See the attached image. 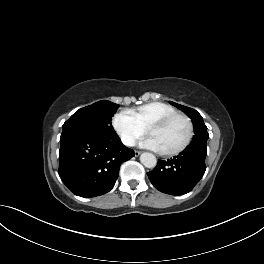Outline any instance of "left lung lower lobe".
Segmentation results:
<instances>
[{
	"mask_svg": "<svg viewBox=\"0 0 264 264\" xmlns=\"http://www.w3.org/2000/svg\"><path fill=\"white\" fill-rule=\"evenodd\" d=\"M206 155L207 146L189 145L178 156L159 160L156 168L147 175L160 192L183 195L203 177Z\"/></svg>",
	"mask_w": 264,
	"mask_h": 264,
	"instance_id": "0a47b994",
	"label": "left lung lower lobe"
}]
</instances>
